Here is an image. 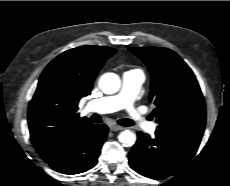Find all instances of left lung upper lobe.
<instances>
[{"mask_svg":"<svg viewBox=\"0 0 230 186\" xmlns=\"http://www.w3.org/2000/svg\"><path fill=\"white\" fill-rule=\"evenodd\" d=\"M151 73L150 102L158 128L203 135L206 109L199 84L188 65L167 48H130Z\"/></svg>","mask_w":230,"mask_h":186,"instance_id":"5c2ea615","label":"left lung upper lobe"}]
</instances>
